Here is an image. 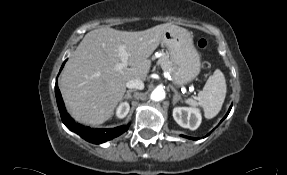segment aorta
Masks as SVG:
<instances>
[{"label": "aorta", "mask_w": 287, "mask_h": 175, "mask_svg": "<svg viewBox=\"0 0 287 175\" xmlns=\"http://www.w3.org/2000/svg\"><path fill=\"white\" fill-rule=\"evenodd\" d=\"M165 96H166V93L164 89L157 87L152 91L150 95V99L153 101H162L165 98Z\"/></svg>", "instance_id": "obj_1"}]
</instances>
